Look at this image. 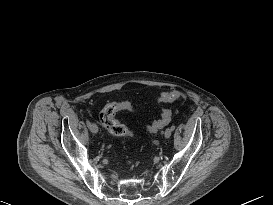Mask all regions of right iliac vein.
Listing matches in <instances>:
<instances>
[{"label": "right iliac vein", "mask_w": 273, "mask_h": 205, "mask_svg": "<svg viewBox=\"0 0 273 205\" xmlns=\"http://www.w3.org/2000/svg\"><path fill=\"white\" fill-rule=\"evenodd\" d=\"M89 130H90L92 133H94V134L98 133V127H97V125L94 124V123H91V124H90Z\"/></svg>", "instance_id": "1"}]
</instances>
